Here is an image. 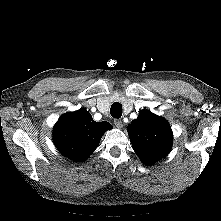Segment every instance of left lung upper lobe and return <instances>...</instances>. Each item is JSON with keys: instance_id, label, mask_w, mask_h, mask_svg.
<instances>
[{"instance_id": "5c2ea615", "label": "left lung upper lobe", "mask_w": 221, "mask_h": 221, "mask_svg": "<svg viewBox=\"0 0 221 221\" xmlns=\"http://www.w3.org/2000/svg\"><path fill=\"white\" fill-rule=\"evenodd\" d=\"M134 151L146 165H153L171 150L173 134L169 123L143 110L127 127Z\"/></svg>"}]
</instances>
